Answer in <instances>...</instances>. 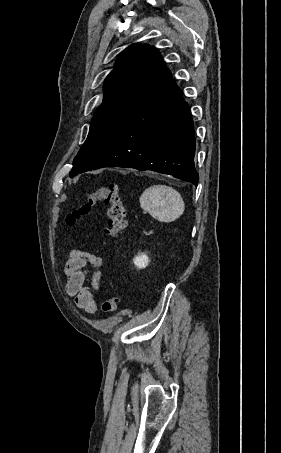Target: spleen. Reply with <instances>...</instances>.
I'll list each match as a JSON object with an SVG mask.
<instances>
[{"label": "spleen", "mask_w": 281, "mask_h": 453, "mask_svg": "<svg viewBox=\"0 0 281 453\" xmlns=\"http://www.w3.org/2000/svg\"><path fill=\"white\" fill-rule=\"evenodd\" d=\"M139 202L153 218L160 222H172L184 212V200L175 188L166 184H154L142 192Z\"/></svg>", "instance_id": "1"}]
</instances>
